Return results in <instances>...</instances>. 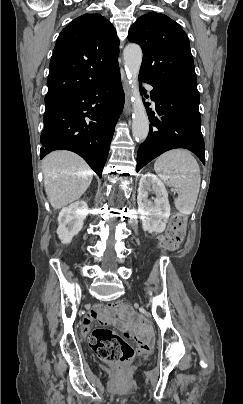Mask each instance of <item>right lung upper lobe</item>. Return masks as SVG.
Wrapping results in <instances>:
<instances>
[{
    "label": "right lung upper lobe",
    "mask_w": 243,
    "mask_h": 404,
    "mask_svg": "<svg viewBox=\"0 0 243 404\" xmlns=\"http://www.w3.org/2000/svg\"><path fill=\"white\" fill-rule=\"evenodd\" d=\"M119 39L100 14H84L60 33L50 61L45 101L82 91L120 72Z\"/></svg>",
    "instance_id": "cb5924a9"
}]
</instances>
